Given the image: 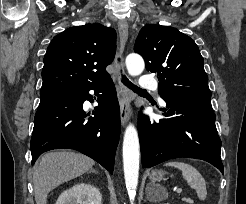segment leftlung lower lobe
I'll use <instances>...</instances> for the list:
<instances>
[{
  "label": "left lung lower lobe",
  "mask_w": 246,
  "mask_h": 204,
  "mask_svg": "<svg viewBox=\"0 0 246 204\" xmlns=\"http://www.w3.org/2000/svg\"><path fill=\"white\" fill-rule=\"evenodd\" d=\"M161 97L167 104L162 110L168 119L150 120L141 115L138 119L142 167L187 157L205 160L224 173L211 96L165 94Z\"/></svg>",
  "instance_id": "obj_1"
}]
</instances>
